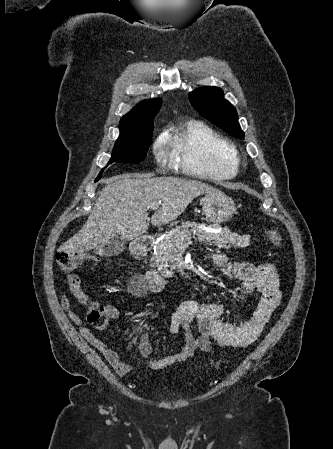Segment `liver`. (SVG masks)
I'll return each instance as SVG.
<instances>
[{
	"label": "liver",
	"instance_id": "6515ba94",
	"mask_svg": "<svg viewBox=\"0 0 333 449\" xmlns=\"http://www.w3.org/2000/svg\"><path fill=\"white\" fill-rule=\"evenodd\" d=\"M216 192L215 188L195 180L137 174L114 176L100 192L85 225L58 251L82 254L115 236L137 239L149 227L151 204L161 202V208L151 218L153 225H161L175 220L195 198Z\"/></svg>",
	"mask_w": 333,
	"mask_h": 449
}]
</instances>
